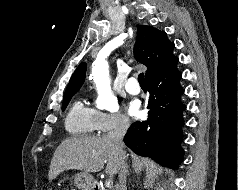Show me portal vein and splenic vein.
Returning a JSON list of instances; mask_svg holds the SVG:
<instances>
[{"instance_id": "obj_1", "label": "portal vein and splenic vein", "mask_w": 238, "mask_h": 190, "mask_svg": "<svg viewBox=\"0 0 238 190\" xmlns=\"http://www.w3.org/2000/svg\"><path fill=\"white\" fill-rule=\"evenodd\" d=\"M112 185H113V181H112L111 179H109V180L106 181V186H107V187H110V186H112Z\"/></svg>"}]
</instances>
